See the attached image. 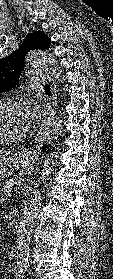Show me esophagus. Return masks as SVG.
<instances>
[{
  "label": "esophagus",
  "instance_id": "obj_1",
  "mask_svg": "<svg viewBox=\"0 0 113 279\" xmlns=\"http://www.w3.org/2000/svg\"><path fill=\"white\" fill-rule=\"evenodd\" d=\"M50 82V89H51V97L49 102V112L45 116L43 122L41 123V127H43L48 120H50L51 116H53L56 113V107H57V89L56 85L53 79L49 80ZM42 145V136L40 135V132H38L36 138H35V146L34 148L36 150L40 149V146Z\"/></svg>",
  "mask_w": 113,
  "mask_h": 279
}]
</instances>
